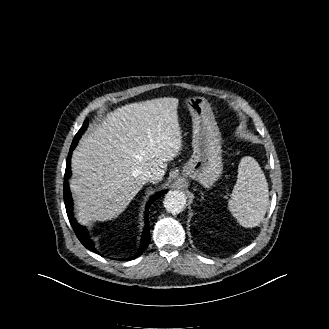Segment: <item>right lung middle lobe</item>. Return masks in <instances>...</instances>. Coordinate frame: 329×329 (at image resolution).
Here are the masks:
<instances>
[{
	"mask_svg": "<svg viewBox=\"0 0 329 329\" xmlns=\"http://www.w3.org/2000/svg\"><path fill=\"white\" fill-rule=\"evenodd\" d=\"M87 126H88V121H87V119H86V120L84 121V123H83V126L79 129V131H78L77 134L75 135V137H74V139H73V141H72L71 147L76 146V144H77L79 138L81 137L82 133L86 130Z\"/></svg>",
	"mask_w": 329,
	"mask_h": 329,
	"instance_id": "right-lung-middle-lobe-1",
	"label": "right lung middle lobe"
}]
</instances>
